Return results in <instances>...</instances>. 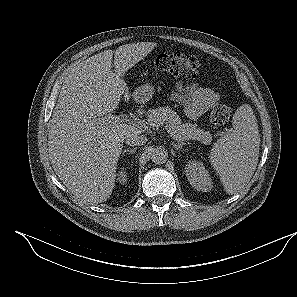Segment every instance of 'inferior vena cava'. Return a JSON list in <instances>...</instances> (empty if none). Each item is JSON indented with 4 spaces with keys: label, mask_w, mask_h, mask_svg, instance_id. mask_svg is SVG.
Masks as SVG:
<instances>
[{
    "label": "inferior vena cava",
    "mask_w": 297,
    "mask_h": 297,
    "mask_svg": "<svg viewBox=\"0 0 297 297\" xmlns=\"http://www.w3.org/2000/svg\"><path fill=\"white\" fill-rule=\"evenodd\" d=\"M147 142V138L139 132L128 133L125 136V143L130 146H141Z\"/></svg>",
    "instance_id": "602c4592"
}]
</instances>
